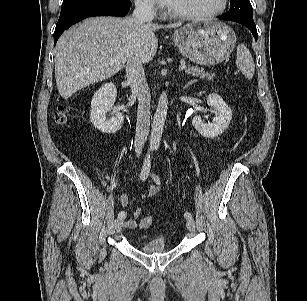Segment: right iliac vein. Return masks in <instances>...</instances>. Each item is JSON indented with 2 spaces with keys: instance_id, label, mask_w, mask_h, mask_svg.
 I'll return each mask as SVG.
<instances>
[{
  "instance_id": "right-iliac-vein-1",
  "label": "right iliac vein",
  "mask_w": 307,
  "mask_h": 301,
  "mask_svg": "<svg viewBox=\"0 0 307 301\" xmlns=\"http://www.w3.org/2000/svg\"><path fill=\"white\" fill-rule=\"evenodd\" d=\"M115 228H116V231L118 233H120L122 231V228H123V219L121 218H118L116 221H115Z\"/></svg>"
}]
</instances>
